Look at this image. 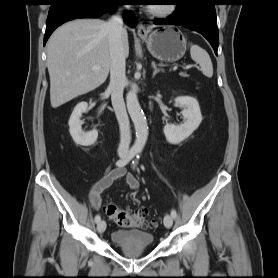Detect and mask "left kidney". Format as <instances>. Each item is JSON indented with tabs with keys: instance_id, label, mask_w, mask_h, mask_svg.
<instances>
[{
	"instance_id": "1",
	"label": "left kidney",
	"mask_w": 278,
	"mask_h": 278,
	"mask_svg": "<svg viewBox=\"0 0 278 278\" xmlns=\"http://www.w3.org/2000/svg\"><path fill=\"white\" fill-rule=\"evenodd\" d=\"M175 103L183 108L182 115L185 122L181 125L167 123L164 127L166 140L170 144H179L188 138L200 125L202 115L198 101L190 96H180L175 98Z\"/></svg>"
}]
</instances>
